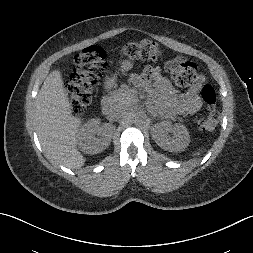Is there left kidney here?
Returning <instances> with one entry per match:
<instances>
[{
  "label": "left kidney",
  "instance_id": "obj_1",
  "mask_svg": "<svg viewBox=\"0 0 253 253\" xmlns=\"http://www.w3.org/2000/svg\"><path fill=\"white\" fill-rule=\"evenodd\" d=\"M152 138L162 149L169 152L183 151L190 142L189 132L184 125H171L168 121L154 126Z\"/></svg>",
  "mask_w": 253,
  "mask_h": 253
}]
</instances>
